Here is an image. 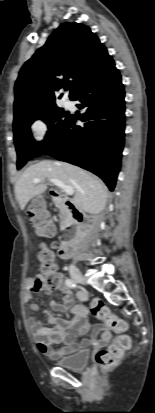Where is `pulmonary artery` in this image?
Instances as JSON below:
<instances>
[{
  "instance_id": "e3ab8cb5",
  "label": "pulmonary artery",
  "mask_w": 155,
  "mask_h": 413,
  "mask_svg": "<svg viewBox=\"0 0 155 413\" xmlns=\"http://www.w3.org/2000/svg\"><path fill=\"white\" fill-rule=\"evenodd\" d=\"M64 104L67 108H72L73 107V102L69 99H65Z\"/></svg>"
}]
</instances>
